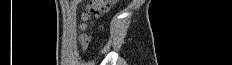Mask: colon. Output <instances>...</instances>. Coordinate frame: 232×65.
Instances as JSON below:
<instances>
[{"label":"colon","instance_id":"1","mask_svg":"<svg viewBox=\"0 0 232 65\" xmlns=\"http://www.w3.org/2000/svg\"><path fill=\"white\" fill-rule=\"evenodd\" d=\"M115 0H92L90 1L87 12L85 15L86 19L98 18L105 12H107L109 6L114 3Z\"/></svg>","mask_w":232,"mask_h":65}]
</instances>
